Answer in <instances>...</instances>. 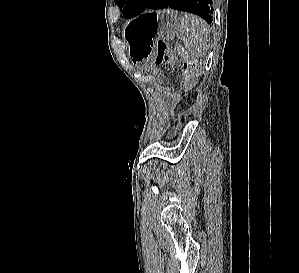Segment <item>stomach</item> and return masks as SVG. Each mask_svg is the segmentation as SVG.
Wrapping results in <instances>:
<instances>
[{"label": "stomach", "mask_w": 299, "mask_h": 273, "mask_svg": "<svg viewBox=\"0 0 299 273\" xmlns=\"http://www.w3.org/2000/svg\"><path fill=\"white\" fill-rule=\"evenodd\" d=\"M182 31L181 18L173 10L151 11L132 20L124 29L128 54L138 67H155L150 61L157 39L170 40ZM144 74H162V69H144Z\"/></svg>", "instance_id": "0dacf381"}]
</instances>
